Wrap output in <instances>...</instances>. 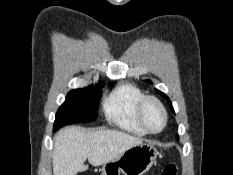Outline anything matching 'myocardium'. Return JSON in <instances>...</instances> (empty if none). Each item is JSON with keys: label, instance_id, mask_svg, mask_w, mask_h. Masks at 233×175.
<instances>
[{"label": "myocardium", "instance_id": "myocardium-1", "mask_svg": "<svg viewBox=\"0 0 233 175\" xmlns=\"http://www.w3.org/2000/svg\"><path fill=\"white\" fill-rule=\"evenodd\" d=\"M150 102L155 103L163 115V125L158 130L151 129L149 127V125L147 124L146 119H145V115H144L145 107ZM137 117H138L139 122L143 126V128L149 133H159V132L163 131L164 128L166 127L167 121H168V115H167V111H166L164 104L162 103V101L160 99H158L157 97L152 96V95L144 96L139 101V103L137 105Z\"/></svg>", "mask_w": 233, "mask_h": 175}]
</instances>
